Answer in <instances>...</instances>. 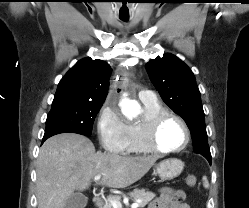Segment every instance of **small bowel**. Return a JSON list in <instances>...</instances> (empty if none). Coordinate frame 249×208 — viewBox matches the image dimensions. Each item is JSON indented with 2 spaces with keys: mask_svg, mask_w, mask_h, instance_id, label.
Instances as JSON below:
<instances>
[{
  "mask_svg": "<svg viewBox=\"0 0 249 208\" xmlns=\"http://www.w3.org/2000/svg\"><path fill=\"white\" fill-rule=\"evenodd\" d=\"M184 200L185 193L182 190L162 188L148 208H190Z\"/></svg>",
  "mask_w": 249,
  "mask_h": 208,
  "instance_id": "obj_1",
  "label": "small bowel"
}]
</instances>
